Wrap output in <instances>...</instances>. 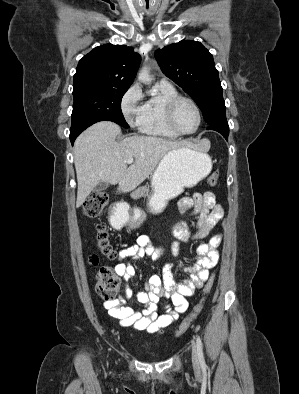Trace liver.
Masks as SVG:
<instances>
[{"label": "liver", "instance_id": "1", "mask_svg": "<svg viewBox=\"0 0 299 394\" xmlns=\"http://www.w3.org/2000/svg\"><path fill=\"white\" fill-rule=\"evenodd\" d=\"M120 127L110 121L95 123L79 135L74 144L78 182L76 207H80L100 182L119 184L122 192L139 186L171 150L187 145L154 136H130L120 142ZM134 158L127 167L125 162Z\"/></svg>", "mask_w": 299, "mask_h": 394}]
</instances>
